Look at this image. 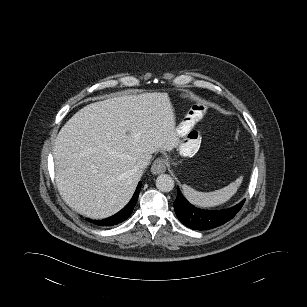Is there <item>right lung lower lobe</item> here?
<instances>
[{"label":"right lung lower lobe","instance_id":"obj_1","mask_svg":"<svg viewBox=\"0 0 307 307\" xmlns=\"http://www.w3.org/2000/svg\"><path fill=\"white\" fill-rule=\"evenodd\" d=\"M140 188H141V182H139L137 189H136L131 201L121 211H119L117 214H115V215H113L109 218L102 219V220L87 219V221H89V222H91V223H93L97 226H101V227L114 226V225H117V224L123 222L132 213V211L135 207V204L137 202L138 196H139Z\"/></svg>","mask_w":307,"mask_h":307}]
</instances>
